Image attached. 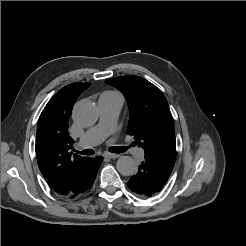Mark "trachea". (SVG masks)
Returning <instances> with one entry per match:
<instances>
[{"instance_id":"obj_1","label":"trachea","mask_w":246,"mask_h":246,"mask_svg":"<svg viewBox=\"0 0 246 246\" xmlns=\"http://www.w3.org/2000/svg\"><path fill=\"white\" fill-rule=\"evenodd\" d=\"M108 150L112 153H123L126 151L124 147H110ZM75 152L81 155H93L94 154V150L92 149H85L83 151H75Z\"/></svg>"}]
</instances>
